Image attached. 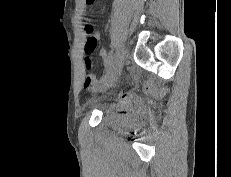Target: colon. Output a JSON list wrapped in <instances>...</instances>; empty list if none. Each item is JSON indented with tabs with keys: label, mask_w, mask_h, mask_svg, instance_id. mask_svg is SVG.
I'll list each match as a JSON object with an SVG mask.
<instances>
[{
	"label": "colon",
	"mask_w": 231,
	"mask_h": 177,
	"mask_svg": "<svg viewBox=\"0 0 231 177\" xmlns=\"http://www.w3.org/2000/svg\"><path fill=\"white\" fill-rule=\"evenodd\" d=\"M95 0H86L87 4H93ZM86 30L88 33H92V28L90 26H86ZM96 45V37L94 35H90L88 38L87 44H86V52L87 54H90Z\"/></svg>",
	"instance_id": "5ec220e1"
}]
</instances>
